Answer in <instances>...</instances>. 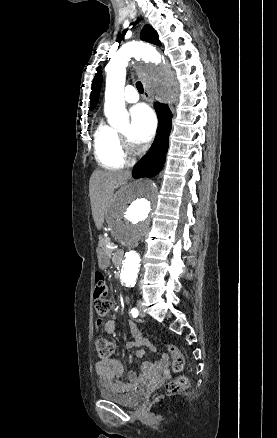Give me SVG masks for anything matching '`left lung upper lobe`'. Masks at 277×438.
I'll use <instances>...</instances> for the list:
<instances>
[{
	"label": "left lung upper lobe",
	"mask_w": 277,
	"mask_h": 438,
	"mask_svg": "<svg viewBox=\"0 0 277 438\" xmlns=\"http://www.w3.org/2000/svg\"><path fill=\"white\" fill-rule=\"evenodd\" d=\"M140 38L142 40L147 41V42H150V43H153V44H156L159 46L161 45L157 33L149 25L144 26L143 30L141 31ZM100 69H101V67L99 66L97 69V73L95 74V77H94L93 82H92V92H91V96H90L91 109H93L95 107L97 100H98V97H99V93H100V88H101V83H102V76H101Z\"/></svg>",
	"instance_id": "5c2ea615"
}]
</instances>
